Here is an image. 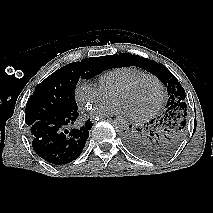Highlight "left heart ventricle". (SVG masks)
Returning a JSON list of instances; mask_svg holds the SVG:
<instances>
[{
	"instance_id": "obj_1",
	"label": "left heart ventricle",
	"mask_w": 213,
	"mask_h": 213,
	"mask_svg": "<svg viewBox=\"0 0 213 213\" xmlns=\"http://www.w3.org/2000/svg\"><path fill=\"white\" fill-rule=\"evenodd\" d=\"M159 95L158 84L152 79H147L129 90L116 93L113 100L124 103L131 115H141L156 105Z\"/></svg>"
}]
</instances>
